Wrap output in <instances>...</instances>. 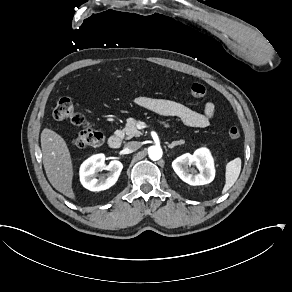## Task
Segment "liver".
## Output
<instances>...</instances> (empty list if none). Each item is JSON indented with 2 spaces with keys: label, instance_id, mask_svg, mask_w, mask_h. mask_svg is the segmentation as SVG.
Masks as SVG:
<instances>
[{
  "label": "liver",
  "instance_id": "6515ba94",
  "mask_svg": "<svg viewBox=\"0 0 292 292\" xmlns=\"http://www.w3.org/2000/svg\"><path fill=\"white\" fill-rule=\"evenodd\" d=\"M43 165L51 185L70 200L80 204L73 190L74 167L64 138L46 127L41 132Z\"/></svg>",
  "mask_w": 292,
  "mask_h": 292
}]
</instances>
